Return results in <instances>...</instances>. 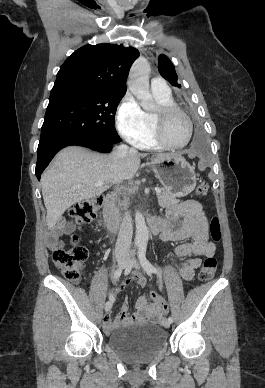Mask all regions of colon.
Segmentation results:
<instances>
[{
    "label": "colon",
    "instance_id": "5ec220e1",
    "mask_svg": "<svg viewBox=\"0 0 265 388\" xmlns=\"http://www.w3.org/2000/svg\"><path fill=\"white\" fill-rule=\"evenodd\" d=\"M208 192V185L200 183L197 186L196 193L198 196H205ZM102 205L101 197H93L82 200L76 203L70 209V215L78 223H87L92 221L98 214ZM210 233L214 241L221 239V225L219 218L214 216L210 221ZM79 238L73 235L71 242L74 245L71 249L58 248L53 253V260L55 265L61 270L63 275L70 281L78 283L81 280L82 268L87 258V250L85 247L78 245ZM217 269V260L215 257H207L200 269L199 278L202 281L211 280ZM149 298L157 304L161 311L168 313L167 303L154 291L148 293Z\"/></svg>",
    "mask_w": 265,
    "mask_h": 388
}]
</instances>
